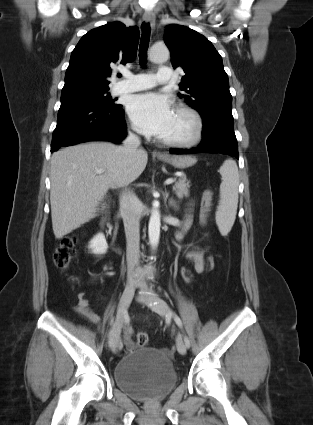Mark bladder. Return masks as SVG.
<instances>
[{"mask_svg": "<svg viewBox=\"0 0 313 425\" xmlns=\"http://www.w3.org/2000/svg\"><path fill=\"white\" fill-rule=\"evenodd\" d=\"M114 379L128 396L151 401L166 396L174 388L177 373L165 350L141 347L117 362Z\"/></svg>", "mask_w": 313, "mask_h": 425, "instance_id": "bladder-1", "label": "bladder"}]
</instances>
